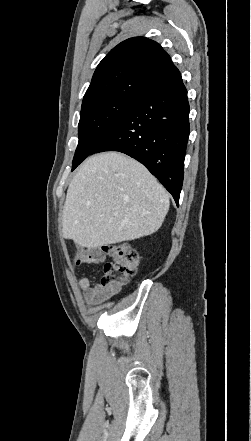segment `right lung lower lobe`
Wrapping results in <instances>:
<instances>
[{
    "instance_id": "right-lung-lower-lobe-1",
    "label": "right lung lower lobe",
    "mask_w": 251,
    "mask_h": 441,
    "mask_svg": "<svg viewBox=\"0 0 251 441\" xmlns=\"http://www.w3.org/2000/svg\"><path fill=\"white\" fill-rule=\"evenodd\" d=\"M189 132L187 90L178 72L142 95L91 154L119 151L138 160L178 205Z\"/></svg>"
}]
</instances>
